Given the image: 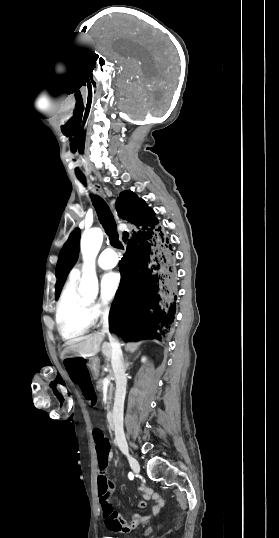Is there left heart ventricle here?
Returning a JSON list of instances; mask_svg holds the SVG:
<instances>
[{"mask_svg":"<svg viewBox=\"0 0 279 538\" xmlns=\"http://www.w3.org/2000/svg\"><path fill=\"white\" fill-rule=\"evenodd\" d=\"M78 207H68V209H77Z\"/></svg>","mask_w":279,"mask_h":538,"instance_id":"obj_1","label":"left heart ventricle"}]
</instances>
